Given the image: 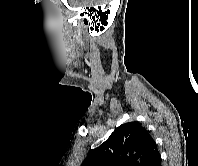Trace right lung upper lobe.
Here are the masks:
<instances>
[{"label":"right lung upper lobe","instance_id":"obj_1","mask_svg":"<svg viewBox=\"0 0 198 166\" xmlns=\"http://www.w3.org/2000/svg\"><path fill=\"white\" fill-rule=\"evenodd\" d=\"M158 154L149 132L139 122H129L93 149L82 166H148Z\"/></svg>","mask_w":198,"mask_h":166}]
</instances>
